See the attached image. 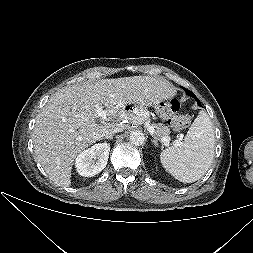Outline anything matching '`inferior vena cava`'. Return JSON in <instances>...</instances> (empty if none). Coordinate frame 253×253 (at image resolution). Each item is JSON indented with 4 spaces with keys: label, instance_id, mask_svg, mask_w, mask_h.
Returning <instances> with one entry per match:
<instances>
[{
    "label": "inferior vena cava",
    "instance_id": "1",
    "mask_svg": "<svg viewBox=\"0 0 253 253\" xmlns=\"http://www.w3.org/2000/svg\"><path fill=\"white\" fill-rule=\"evenodd\" d=\"M117 132H121V129L115 128V129L106 131V132L103 134V137L106 138V137H108V136H110V135H113V134H115V133H117Z\"/></svg>",
    "mask_w": 253,
    "mask_h": 253
}]
</instances>
